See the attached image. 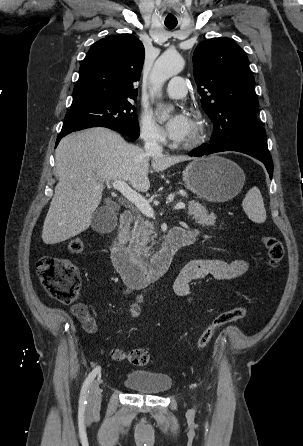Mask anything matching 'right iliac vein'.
Returning <instances> with one entry per match:
<instances>
[{
  "label": "right iliac vein",
  "instance_id": "obj_1",
  "mask_svg": "<svg viewBox=\"0 0 303 446\" xmlns=\"http://www.w3.org/2000/svg\"><path fill=\"white\" fill-rule=\"evenodd\" d=\"M99 381H94L90 388L88 398V410L94 412L98 409L101 402V391L99 387Z\"/></svg>",
  "mask_w": 303,
  "mask_h": 446
}]
</instances>
